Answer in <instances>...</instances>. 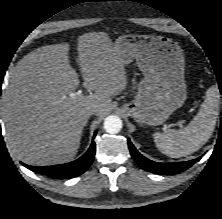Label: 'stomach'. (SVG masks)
Here are the masks:
<instances>
[{
  "label": "stomach",
  "instance_id": "obj_1",
  "mask_svg": "<svg viewBox=\"0 0 222 219\" xmlns=\"http://www.w3.org/2000/svg\"><path fill=\"white\" fill-rule=\"evenodd\" d=\"M112 48L124 65L135 59L144 75L135 99L124 110L138 123H164L187 97L181 47L164 36L123 34Z\"/></svg>",
  "mask_w": 222,
  "mask_h": 219
}]
</instances>
